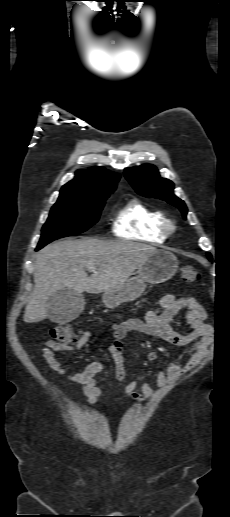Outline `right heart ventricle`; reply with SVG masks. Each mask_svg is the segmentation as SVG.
<instances>
[{
  "label": "right heart ventricle",
  "instance_id": "e07e8e85",
  "mask_svg": "<svg viewBox=\"0 0 230 517\" xmlns=\"http://www.w3.org/2000/svg\"><path fill=\"white\" fill-rule=\"evenodd\" d=\"M164 213L138 199L127 201L115 214L112 231L123 239L162 243L168 236Z\"/></svg>",
  "mask_w": 230,
  "mask_h": 517
}]
</instances>
